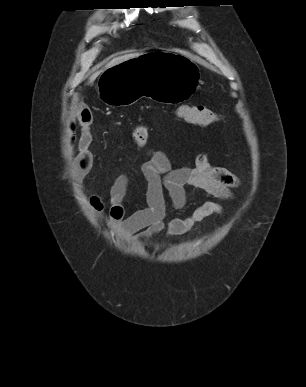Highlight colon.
<instances>
[{
	"mask_svg": "<svg viewBox=\"0 0 306 387\" xmlns=\"http://www.w3.org/2000/svg\"><path fill=\"white\" fill-rule=\"evenodd\" d=\"M178 116L185 122L206 127L219 120L210 108L203 105H184L178 109ZM149 139V130L145 124H138L132 133V141L138 148L144 147Z\"/></svg>",
	"mask_w": 306,
	"mask_h": 387,
	"instance_id": "1",
	"label": "colon"
}]
</instances>
